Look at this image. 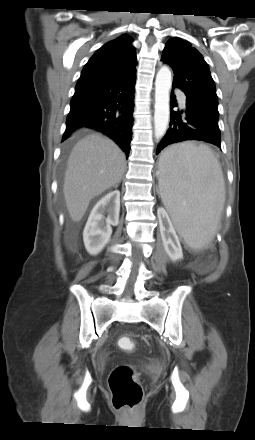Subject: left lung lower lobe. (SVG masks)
Returning <instances> with one entry per match:
<instances>
[{
	"label": "left lung lower lobe",
	"instance_id": "0a47b994",
	"mask_svg": "<svg viewBox=\"0 0 255 440\" xmlns=\"http://www.w3.org/2000/svg\"><path fill=\"white\" fill-rule=\"evenodd\" d=\"M174 98L175 95L172 92L171 99ZM174 101L176 100L174 99ZM186 101L183 118H181L183 111L175 112L172 110L177 104L171 101L170 127L158 145L156 154H159L170 144L186 140L205 141L221 148L218 110L190 102L187 99Z\"/></svg>",
	"mask_w": 255,
	"mask_h": 440
}]
</instances>
